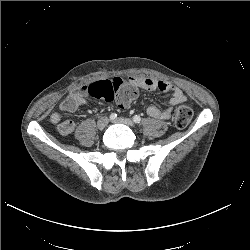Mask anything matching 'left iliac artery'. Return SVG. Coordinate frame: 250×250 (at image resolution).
I'll return each instance as SVG.
<instances>
[{
	"mask_svg": "<svg viewBox=\"0 0 250 250\" xmlns=\"http://www.w3.org/2000/svg\"><path fill=\"white\" fill-rule=\"evenodd\" d=\"M133 121H134L135 123H140V122H141V117L138 116V115H135V116L133 117Z\"/></svg>",
	"mask_w": 250,
	"mask_h": 250,
	"instance_id": "left-iliac-artery-1",
	"label": "left iliac artery"
}]
</instances>
